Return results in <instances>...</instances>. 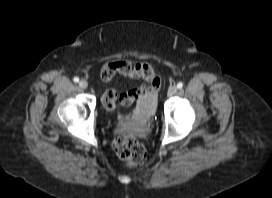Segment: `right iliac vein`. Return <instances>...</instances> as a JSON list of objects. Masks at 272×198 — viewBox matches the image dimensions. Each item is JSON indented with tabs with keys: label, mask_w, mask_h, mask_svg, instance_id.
<instances>
[{
	"label": "right iliac vein",
	"mask_w": 272,
	"mask_h": 198,
	"mask_svg": "<svg viewBox=\"0 0 272 198\" xmlns=\"http://www.w3.org/2000/svg\"><path fill=\"white\" fill-rule=\"evenodd\" d=\"M79 87L82 89H86L88 87V83L85 80L79 81Z\"/></svg>",
	"instance_id": "1"
}]
</instances>
